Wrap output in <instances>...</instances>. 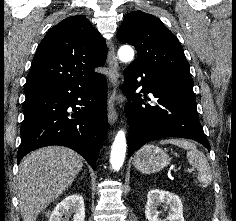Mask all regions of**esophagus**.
<instances>
[{"mask_svg": "<svg viewBox=\"0 0 236 221\" xmlns=\"http://www.w3.org/2000/svg\"><path fill=\"white\" fill-rule=\"evenodd\" d=\"M108 64H109V82L110 93L108 99V121L110 125H113L118 117V113L115 108V99L119 79V64L115 54L114 45L110 42V48L108 51Z\"/></svg>", "mask_w": 236, "mask_h": 221, "instance_id": "1", "label": "esophagus"}]
</instances>
